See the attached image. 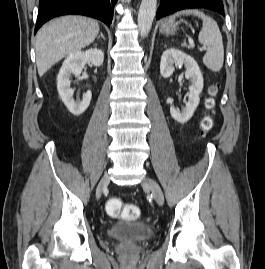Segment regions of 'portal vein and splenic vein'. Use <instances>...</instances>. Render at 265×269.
Returning <instances> with one entry per match:
<instances>
[{
	"mask_svg": "<svg viewBox=\"0 0 265 269\" xmlns=\"http://www.w3.org/2000/svg\"><path fill=\"white\" fill-rule=\"evenodd\" d=\"M189 46L190 47H194L195 46V44H194V42L192 40L189 41ZM204 50H205V47H201L200 48V51H204Z\"/></svg>",
	"mask_w": 265,
	"mask_h": 269,
	"instance_id": "obj_1",
	"label": "portal vein and splenic vein"
}]
</instances>
